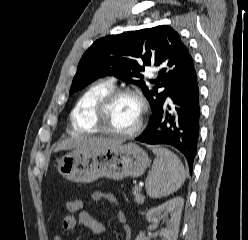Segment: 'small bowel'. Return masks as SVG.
Returning a JSON list of instances; mask_svg holds the SVG:
<instances>
[{
    "label": "small bowel",
    "instance_id": "small-bowel-1",
    "mask_svg": "<svg viewBox=\"0 0 248 240\" xmlns=\"http://www.w3.org/2000/svg\"><path fill=\"white\" fill-rule=\"evenodd\" d=\"M91 198L93 201L105 200L114 208H118V201L116 197L110 192L95 191L92 193ZM116 218L118 223L121 226L122 233L125 237V240L131 239V230L127 224L126 216L122 211H117ZM77 223L89 228L92 234H101L104 231V226L102 222L89 214L86 211H80L77 214H67L62 222V228L65 231H71L75 228ZM53 240H62L60 236H55Z\"/></svg>",
    "mask_w": 248,
    "mask_h": 240
}]
</instances>
